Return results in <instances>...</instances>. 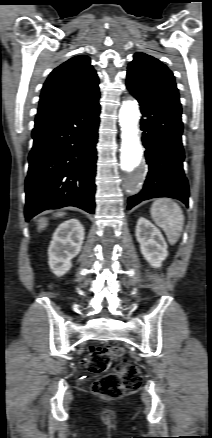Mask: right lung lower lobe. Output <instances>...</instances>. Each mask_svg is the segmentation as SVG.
Wrapping results in <instances>:
<instances>
[{"label":"right lung lower lobe","instance_id":"right-lung-lower-lobe-1","mask_svg":"<svg viewBox=\"0 0 212 438\" xmlns=\"http://www.w3.org/2000/svg\"><path fill=\"white\" fill-rule=\"evenodd\" d=\"M100 105L37 114L25 181V218L47 209L79 207L94 213Z\"/></svg>","mask_w":212,"mask_h":438}]
</instances>
